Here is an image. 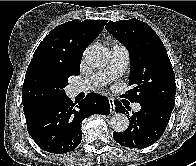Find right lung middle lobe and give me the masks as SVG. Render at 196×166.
<instances>
[{
  "label": "right lung middle lobe",
  "instance_id": "right-lung-middle-lobe-1",
  "mask_svg": "<svg viewBox=\"0 0 196 166\" xmlns=\"http://www.w3.org/2000/svg\"><path fill=\"white\" fill-rule=\"evenodd\" d=\"M67 85L68 76L60 75L43 67H36L25 77L23 105L63 97L66 95L64 87Z\"/></svg>",
  "mask_w": 196,
  "mask_h": 166
}]
</instances>
